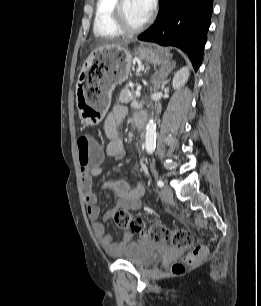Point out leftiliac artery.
<instances>
[{"label": "left iliac artery", "instance_id": "left-iliac-artery-1", "mask_svg": "<svg viewBox=\"0 0 261 306\" xmlns=\"http://www.w3.org/2000/svg\"><path fill=\"white\" fill-rule=\"evenodd\" d=\"M157 185H158L159 187H163V186H164V183H163V181H162L161 179H159V180L157 181Z\"/></svg>", "mask_w": 261, "mask_h": 306}]
</instances>
